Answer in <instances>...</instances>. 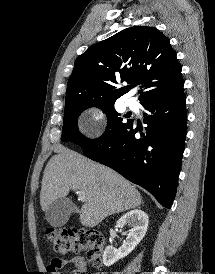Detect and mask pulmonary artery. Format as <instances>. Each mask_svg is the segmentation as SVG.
I'll list each match as a JSON object with an SVG mask.
<instances>
[{
	"label": "pulmonary artery",
	"mask_w": 215,
	"mask_h": 274,
	"mask_svg": "<svg viewBox=\"0 0 215 274\" xmlns=\"http://www.w3.org/2000/svg\"><path fill=\"white\" fill-rule=\"evenodd\" d=\"M126 105L131 109V110H135L137 109V102L134 98H129L126 100Z\"/></svg>",
	"instance_id": "obj_1"
}]
</instances>
